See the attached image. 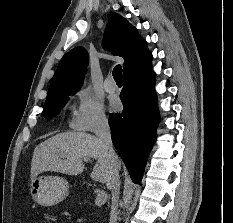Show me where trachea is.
<instances>
[{
    "label": "trachea",
    "mask_w": 233,
    "mask_h": 223,
    "mask_svg": "<svg viewBox=\"0 0 233 223\" xmlns=\"http://www.w3.org/2000/svg\"><path fill=\"white\" fill-rule=\"evenodd\" d=\"M113 78L117 83H123L122 79V68L120 65H116L113 69Z\"/></svg>",
    "instance_id": "3493384b"
}]
</instances>
